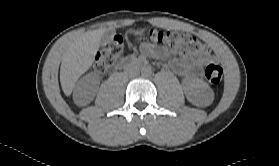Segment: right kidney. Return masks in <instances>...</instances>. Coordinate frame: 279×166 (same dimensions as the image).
Listing matches in <instances>:
<instances>
[{"mask_svg":"<svg viewBox=\"0 0 279 166\" xmlns=\"http://www.w3.org/2000/svg\"><path fill=\"white\" fill-rule=\"evenodd\" d=\"M99 81L95 76H87L78 81L74 90V99L79 105H85L95 96Z\"/></svg>","mask_w":279,"mask_h":166,"instance_id":"1","label":"right kidney"}]
</instances>
